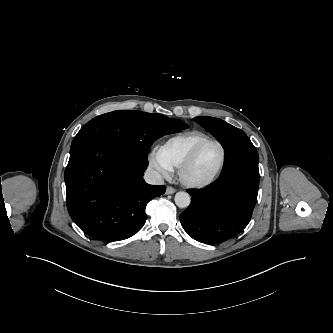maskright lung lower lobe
I'll list each match as a JSON object with an SVG mask.
<instances>
[{"instance_id":"obj_1","label":"right lung lower lobe","mask_w":333,"mask_h":333,"mask_svg":"<svg viewBox=\"0 0 333 333\" xmlns=\"http://www.w3.org/2000/svg\"><path fill=\"white\" fill-rule=\"evenodd\" d=\"M147 166L148 161L105 141L86 139L71 146L64 179L72 220L99 240L133 236L145 224L148 201L166 190L144 182Z\"/></svg>"}]
</instances>
